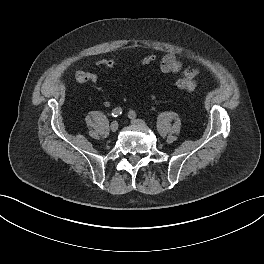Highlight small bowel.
Returning a JSON list of instances; mask_svg holds the SVG:
<instances>
[{"label":"small bowel","instance_id":"obj_1","mask_svg":"<svg viewBox=\"0 0 264 264\" xmlns=\"http://www.w3.org/2000/svg\"><path fill=\"white\" fill-rule=\"evenodd\" d=\"M182 66V61L174 53L169 52L161 59L159 70L164 74H175L182 69ZM185 71L188 72L191 79L195 78L199 74V71L195 68H187ZM76 79L81 83L97 82L99 76L96 73L79 70L76 72Z\"/></svg>","mask_w":264,"mask_h":264}]
</instances>
